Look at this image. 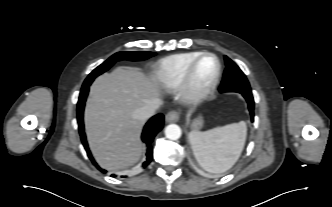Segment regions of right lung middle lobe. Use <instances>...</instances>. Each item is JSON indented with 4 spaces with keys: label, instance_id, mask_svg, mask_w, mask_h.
<instances>
[{
    "label": "right lung middle lobe",
    "instance_id": "1",
    "mask_svg": "<svg viewBox=\"0 0 332 207\" xmlns=\"http://www.w3.org/2000/svg\"><path fill=\"white\" fill-rule=\"evenodd\" d=\"M155 53L147 51L118 52L112 55L108 60L95 68L86 78L83 86H90L93 80L100 74L107 71L119 60L141 61L154 56Z\"/></svg>",
    "mask_w": 332,
    "mask_h": 207
}]
</instances>
